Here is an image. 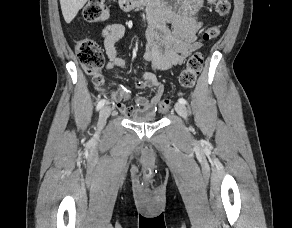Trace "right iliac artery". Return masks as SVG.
<instances>
[{
	"label": "right iliac artery",
	"instance_id": "1",
	"mask_svg": "<svg viewBox=\"0 0 292 228\" xmlns=\"http://www.w3.org/2000/svg\"><path fill=\"white\" fill-rule=\"evenodd\" d=\"M105 103H106V100H105V99L100 100V101L98 102V104H97L96 109H97V110L101 109V108L105 105Z\"/></svg>",
	"mask_w": 292,
	"mask_h": 228
}]
</instances>
